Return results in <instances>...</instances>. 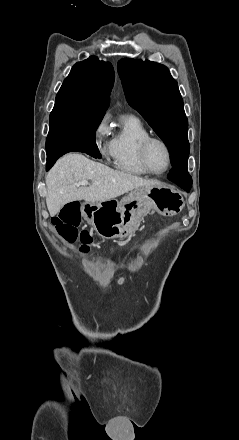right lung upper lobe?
Here are the masks:
<instances>
[{"instance_id":"right-lung-upper-lobe-1","label":"right lung upper lobe","mask_w":239,"mask_h":440,"mask_svg":"<svg viewBox=\"0 0 239 440\" xmlns=\"http://www.w3.org/2000/svg\"><path fill=\"white\" fill-rule=\"evenodd\" d=\"M113 83L112 64L91 56L72 67L56 96L54 108L104 115Z\"/></svg>"}]
</instances>
